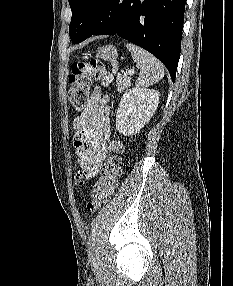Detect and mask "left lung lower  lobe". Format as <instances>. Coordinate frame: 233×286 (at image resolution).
Here are the masks:
<instances>
[{
  "mask_svg": "<svg viewBox=\"0 0 233 286\" xmlns=\"http://www.w3.org/2000/svg\"><path fill=\"white\" fill-rule=\"evenodd\" d=\"M186 0H105L78 44L92 35H114L148 50L175 81Z\"/></svg>",
  "mask_w": 233,
  "mask_h": 286,
  "instance_id": "0a47b994",
  "label": "left lung lower lobe"
}]
</instances>
